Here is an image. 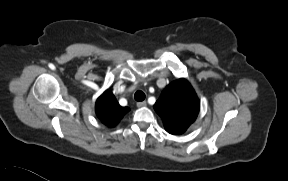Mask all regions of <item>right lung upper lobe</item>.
I'll return each instance as SVG.
<instances>
[{
	"label": "right lung upper lobe",
	"mask_w": 288,
	"mask_h": 181,
	"mask_svg": "<svg viewBox=\"0 0 288 181\" xmlns=\"http://www.w3.org/2000/svg\"><path fill=\"white\" fill-rule=\"evenodd\" d=\"M95 111L101 122L108 127H114L129 111L128 107H121L115 96L106 90L96 101Z\"/></svg>",
	"instance_id": "cb5924a9"
}]
</instances>
